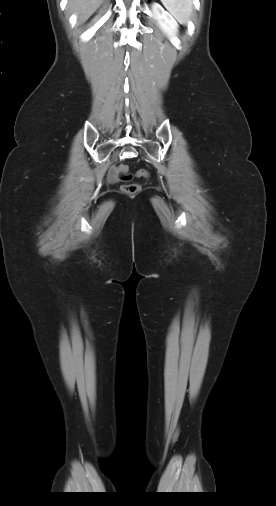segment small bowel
I'll list each match as a JSON object with an SVG mask.
<instances>
[{"instance_id": "small-bowel-1", "label": "small bowel", "mask_w": 276, "mask_h": 506, "mask_svg": "<svg viewBox=\"0 0 276 506\" xmlns=\"http://www.w3.org/2000/svg\"><path fill=\"white\" fill-rule=\"evenodd\" d=\"M109 179L111 181H117V173L114 168H112L109 172Z\"/></svg>"}]
</instances>
